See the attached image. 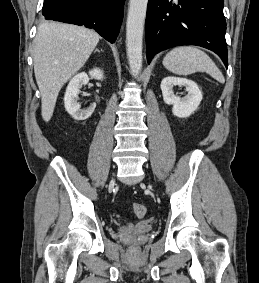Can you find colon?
<instances>
[{
	"label": "colon",
	"mask_w": 259,
	"mask_h": 283,
	"mask_svg": "<svg viewBox=\"0 0 259 283\" xmlns=\"http://www.w3.org/2000/svg\"><path fill=\"white\" fill-rule=\"evenodd\" d=\"M132 213L138 217V218H141L145 215L146 213V208L143 204L141 203H134L132 205Z\"/></svg>",
	"instance_id": "1"
}]
</instances>
